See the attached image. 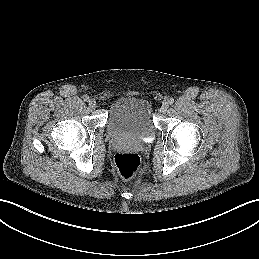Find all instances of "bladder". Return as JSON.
<instances>
[{
	"mask_svg": "<svg viewBox=\"0 0 259 259\" xmlns=\"http://www.w3.org/2000/svg\"><path fill=\"white\" fill-rule=\"evenodd\" d=\"M106 131L111 138L152 139L156 128L151 102L141 96L117 98L109 109Z\"/></svg>",
	"mask_w": 259,
	"mask_h": 259,
	"instance_id": "bladder-1",
	"label": "bladder"
}]
</instances>
